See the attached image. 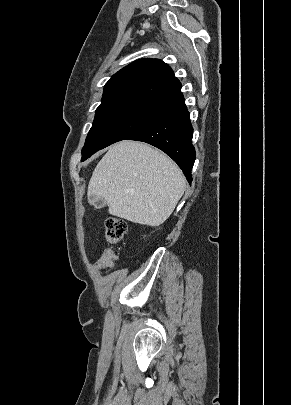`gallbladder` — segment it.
Wrapping results in <instances>:
<instances>
[{
	"instance_id": "obj_1",
	"label": "gallbladder",
	"mask_w": 291,
	"mask_h": 405,
	"mask_svg": "<svg viewBox=\"0 0 291 405\" xmlns=\"http://www.w3.org/2000/svg\"><path fill=\"white\" fill-rule=\"evenodd\" d=\"M89 202L96 208L100 209L105 206V202L102 199H94L93 197L90 198Z\"/></svg>"
}]
</instances>
